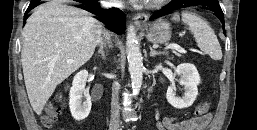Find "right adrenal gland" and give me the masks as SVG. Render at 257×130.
<instances>
[{"mask_svg": "<svg viewBox=\"0 0 257 130\" xmlns=\"http://www.w3.org/2000/svg\"><path fill=\"white\" fill-rule=\"evenodd\" d=\"M104 47L103 44L100 45V48L98 50V54L101 55L102 59H106V56H105V52H104Z\"/></svg>", "mask_w": 257, "mask_h": 130, "instance_id": "1", "label": "right adrenal gland"}]
</instances>
